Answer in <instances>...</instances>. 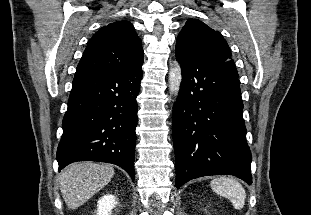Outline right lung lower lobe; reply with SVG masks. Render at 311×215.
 Masks as SVG:
<instances>
[{"label":"right lung lower lobe","instance_id":"98d812e1","mask_svg":"<svg viewBox=\"0 0 311 215\" xmlns=\"http://www.w3.org/2000/svg\"><path fill=\"white\" fill-rule=\"evenodd\" d=\"M142 75L141 67L76 71L56 155L59 170L76 161H99L122 167L134 180Z\"/></svg>","mask_w":311,"mask_h":215}]
</instances>
